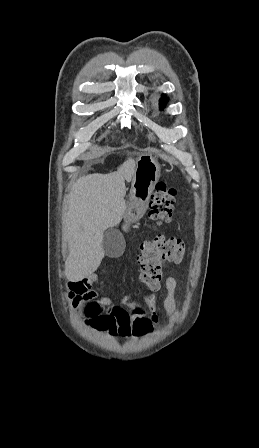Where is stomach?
<instances>
[{
  "instance_id": "0dacf381",
  "label": "stomach",
  "mask_w": 259,
  "mask_h": 448,
  "mask_svg": "<svg viewBox=\"0 0 259 448\" xmlns=\"http://www.w3.org/2000/svg\"><path fill=\"white\" fill-rule=\"evenodd\" d=\"M160 178V166L151 154H142L136 160V168L131 182L130 200L139 206H126L124 221L132 225V221H141L144 210L141 204H148L150 196Z\"/></svg>"
}]
</instances>
